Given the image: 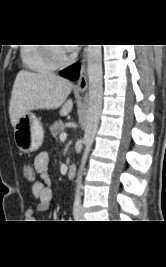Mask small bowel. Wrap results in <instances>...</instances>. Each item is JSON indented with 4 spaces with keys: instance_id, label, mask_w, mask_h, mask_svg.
<instances>
[{
    "instance_id": "c3829d8e",
    "label": "small bowel",
    "mask_w": 166,
    "mask_h": 267,
    "mask_svg": "<svg viewBox=\"0 0 166 267\" xmlns=\"http://www.w3.org/2000/svg\"><path fill=\"white\" fill-rule=\"evenodd\" d=\"M49 159V154L45 151L39 153L34 159L33 173L38 174L39 178L35 177V182L32 183V192L38 203L35 209L26 212L27 218H34L36 214L46 212L50 208L53 186L47 172Z\"/></svg>"
}]
</instances>
